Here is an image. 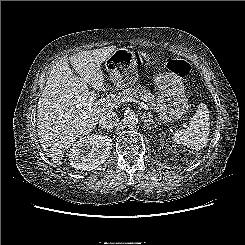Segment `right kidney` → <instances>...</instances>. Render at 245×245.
<instances>
[{"label": "right kidney", "mask_w": 245, "mask_h": 245, "mask_svg": "<svg viewBox=\"0 0 245 245\" xmlns=\"http://www.w3.org/2000/svg\"><path fill=\"white\" fill-rule=\"evenodd\" d=\"M86 148H91L85 153ZM112 149L110 137L102 135H90L79 139L71 148L69 162L78 170L90 171L105 162Z\"/></svg>", "instance_id": "ca27d5eb"}]
</instances>
